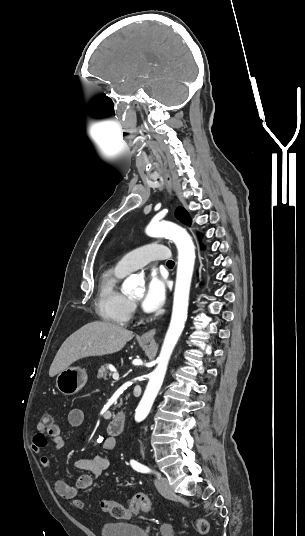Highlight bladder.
Here are the masks:
<instances>
[{"mask_svg": "<svg viewBox=\"0 0 305 536\" xmlns=\"http://www.w3.org/2000/svg\"><path fill=\"white\" fill-rule=\"evenodd\" d=\"M100 536H150L147 528L131 520L103 522L100 524Z\"/></svg>", "mask_w": 305, "mask_h": 536, "instance_id": "bladder-1", "label": "bladder"}]
</instances>
